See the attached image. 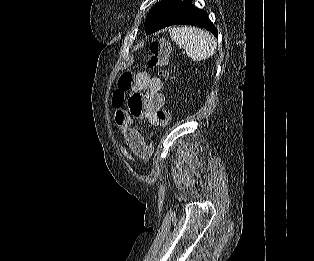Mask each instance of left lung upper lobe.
<instances>
[{"mask_svg": "<svg viewBox=\"0 0 314 261\" xmlns=\"http://www.w3.org/2000/svg\"><path fill=\"white\" fill-rule=\"evenodd\" d=\"M181 4V1L174 0H162L156 3L150 9L144 24L146 34H151L163 28L179 10Z\"/></svg>", "mask_w": 314, "mask_h": 261, "instance_id": "1", "label": "left lung upper lobe"}]
</instances>
